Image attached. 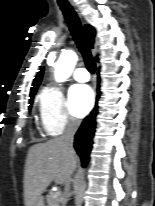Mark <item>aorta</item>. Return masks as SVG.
I'll return each instance as SVG.
<instances>
[{
  "instance_id": "1",
  "label": "aorta",
  "mask_w": 155,
  "mask_h": 206,
  "mask_svg": "<svg viewBox=\"0 0 155 206\" xmlns=\"http://www.w3.org/2000/svg\"><path fill=\"white\" fill-rule=\"evenodd\" d=\"M77 62V55L72 50L63 51L59 60L55 64V80L63 82L72 74L75 64Z\"/></svg>"
}]
</instances>
